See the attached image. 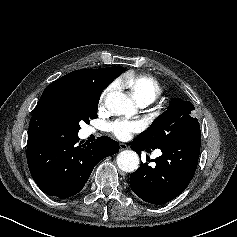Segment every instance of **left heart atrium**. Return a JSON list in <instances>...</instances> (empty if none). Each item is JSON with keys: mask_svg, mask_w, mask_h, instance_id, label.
<instances>
[{"mask_svg": "<svg viewBox=\"0 0 237 237\" xmlns=\"http://www.w3.org/2000/svg\"><path fill=\"white\" fill-rule=\"evenodd\" d=\"M110 130L120 140H128L133 133L141 130L137 121L117 120L110 124Z\"/></svg>", "mask_w": 237, "mask_h": 237, "instance_id": "1", "label": "left heart atrium"}]
</instances>
